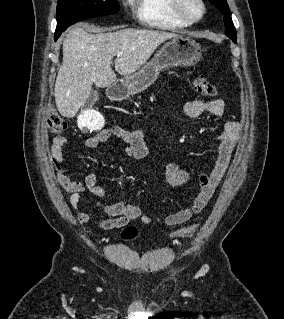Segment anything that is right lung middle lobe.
I'll return each mask as SVG.
<instances>
[{
    "label": "right lung middle lobe",
    "mask_w": 284,
    "mask_h": 319,
    "mask_svg": "<svg viewBox=\"0 0 284 319\" xmlns=\"http://www.w3.org/2000/svg\"><path fill=\"white\" fill-rule=\"evenodd\" d=\"M119 9L117 0H58L55 36L78 21L114 14Z\"/></svg>",
    "instance_id": "right-lung-middle-lobe-1"
}]
</instances>
